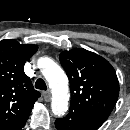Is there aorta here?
<instances>
[{"label": "aorta", "mask_w": 130, "mask_h": 130, "mask_svg": "<svg viewBox=\"0 0 130 130\" xmlns=\"http://www.w3.org/2000/svg\"><path fill=\"white\" fill-rule=\"evenodd\" d=\"M38 66L42 70L52 91V112L60 117L68 110V78L60 66L48 57L40 58Z\"/></svg>", "instance_id": "1"}]
</instances>
